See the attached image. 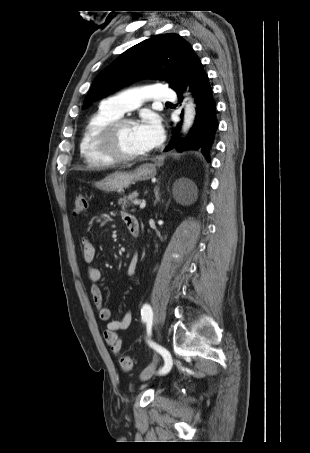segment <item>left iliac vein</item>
I'll use <instances>...</instances> for the list:
<instances>
[{"label": "left iliac vein", "instance_id": "4c4485c4", "mask_svg": "<svg viewBox=\"0 0 310 453\" xmlns=\"http://www.w3.org/2000/svg\"><path fill=\"white\" fill-rule=\"evenodd\" d=\"M158 337H160L159 334H158ZM156 365H157V358H155V359L153 360V362H152L151 364H149V365L141 372V374H140V379H141L142 381H146V380L150 379V378L153 376L154 372H155Z\"/></svg>", "mask_w": 310, "mask_h": 453}]
</instances>
